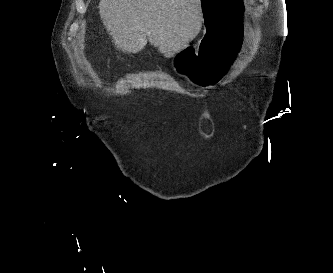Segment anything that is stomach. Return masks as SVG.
Returning <instances> with one entry per match:
<instances>
[{
    "mask_svg": "<svg viewBox=\"0 0 333 273\" xmlns=\"http://www.w3.org/2000/svg\"><path fill=\"white\" fill-rule=\"evenodd\" d=\"M205 31L197 49L186 46L175 53L173 68L177 75L197 87H210L228 81L232 62L245 51L246 23L250 8L247 0H198Z\"/></svg>",
    "mask_w": 333,
    "mask_h": 273,
    "instance_id": "1",
    "label": "stomach"
}]
</instances>
